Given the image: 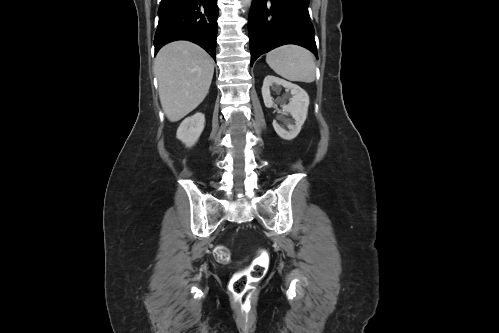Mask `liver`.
Returning <instances> with one entry per match:
<instances>
[{
  "instance_id": "1",
  "label": "liver",
  "mask_w": 499,
  "mask_h": 333,
  "mask_svg": "<svg viewBox=\"0 0 499 333\" xmlns=\"http://www.w3.org/2000/svg\"><path fill=\"white\" fill-rule=\"evenodd\" d=\"M162 108L171 122L193 111L206 97L214 61L198 45L174 41L165 45L154 61Z\"/></svg>"
}]
</instances>
